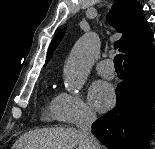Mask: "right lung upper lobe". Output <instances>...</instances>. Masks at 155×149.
I'll use <instances>...</instances> for the list:
<instances>
[{
	"label": "right lung upper lobe",
	"mask_w": 155,
	"mask_h": 149,
	"mask_svg": "<svg viewBox=\"0 0 155 149\" xmlns=\"http://www.w3.org/2000/svg\"><path fill=\"white\" fill-rule=\"evenodd\" d=\"M107 21L118 32L123 33L122 38L115 42V48L125 53L124 65L144 61L155 55L152 46L153 33L145 19L142 6L136 0H116ZM64 33L65 29L53 38L46 64Z\"/></svg>",
	"instance_id": "cb5924a9"
}]
</instances>
